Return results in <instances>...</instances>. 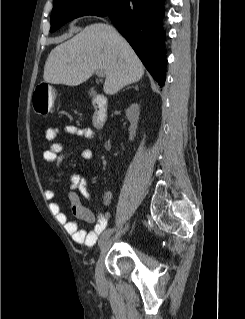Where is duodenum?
I'll list each match as a JSON object with an SVG mask.
<instances>
[{"label": "duodenum", "instance_id": "1", "mask_svg": "<svg viewBox=\"0 0 245 319\" xmlns=\"http://www.w3.org/2000/svg\"><path fill=\"white\" fill-rule=\"evenodd\" d=\"M94 113L92 116V124L95 129L101 130L107 122L108 102L103 95H96L92 100Z\"/></svg>", "mask_w": 245, "mask_h": 319}]
</instances>
